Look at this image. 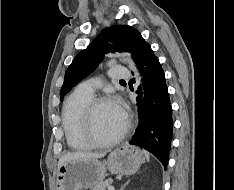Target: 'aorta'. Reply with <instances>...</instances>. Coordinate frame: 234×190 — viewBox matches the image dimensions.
Returning a JSON list of instances; mask_svg holds the SVG:
<instances>
[{
    "label": "aorta",
    "instance_id": "762f6f07",
    "mask_svg": "<svg viewBox=\"0 0 234 190\" xmlns=\"http://www.w3.org/2000/svg\"><path fill=\"white\" fill-rule=\"evenodd\" d=\"M124 60L127 62L128 66L135 72L137 73V69L135 67V64L133 62V60L130 57H126L124 58Z\"/></svg>",
    "mask_w": 234,
    "mask_h": 190
}]
</instances>
